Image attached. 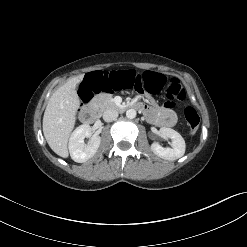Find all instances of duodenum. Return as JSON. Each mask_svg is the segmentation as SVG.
Here are the masks:
<instances>
[{
  "mask_svg": "<svg viewBox=\"0 0 247 247\" xmlns=\"http://www.w3.org/2000/svg\"><path fill=\"white\" fill-rule=\"evenodd\" d=\"M126 107L141 110V111H144L145 109L144 105L140 102H132L127 106H120L119 108L124 109ZM82 119L86 123L95 122L98 119L97 108L94 105H88L82 114Z\"/></svg>",
  "mask_w": 247,
  "mask_h": 247,
  "instance_id": "1",
  "label": "duodenum"
}]
</instances>
